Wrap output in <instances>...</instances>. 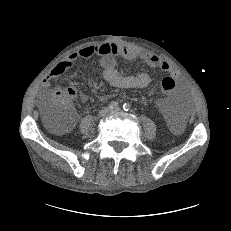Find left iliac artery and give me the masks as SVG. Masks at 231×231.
Masks as SVG:
<instances>
[{"instance_id": "left-iliac-artery-1", "label": "left iliac artery", "mask_w": 231, "mask_h": 231, "mask_svg": "<svg viewBox=\"0 0 231 231\" xmlns=\"http://www.w3.org/2000/svg\"><path fill=\"white\" fill-rule=\"evenodd\" d=\"M130 104L129 103H125L124 105H123V109H124V111H129L130 110Z\"/></svg>"}]
</instances>
